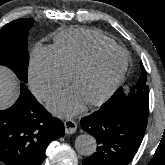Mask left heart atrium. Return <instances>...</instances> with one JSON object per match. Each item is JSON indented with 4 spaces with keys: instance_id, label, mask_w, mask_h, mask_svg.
<instances>
[{
    "instance_id": "left-heart-atrium-1",
    "label": "left heart atrium",
    "mask_w": 165,
    "mask_h": 165,
    "mask_svg": "<svg viewBox=\"0 0 165 165\" xmlns=\"http://www.w3.org/2000/svg\"><path fill=\"white\" fill-rule=\"evenodd\" d=\"M83 98L75 89L64 91L55 96L49 103L50 109L61 116H73L84 105Z\"/></svg>"
}]
</instances>
